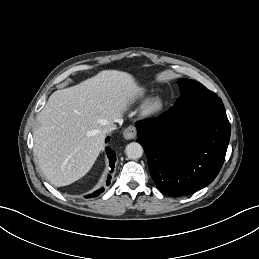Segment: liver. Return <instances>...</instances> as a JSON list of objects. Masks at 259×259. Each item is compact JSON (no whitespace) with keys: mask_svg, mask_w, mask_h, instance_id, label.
<instances>
[{"mask_svg":"<svg viewBox=\"0 0 259 259\" xmlns=\"http://www.w3.org/2000/svg\"><path fill=\"white\" fill-rule=\"evenodd\" d=\"M141 92L132 75L104 70L51 94L33 134L34 154L51 184L66 186L90 171L104 145L103 128L120 121Z\"/></svg>","mask_w":259,"mask_h":259,"instance_id":"liver-1","label":"liver"}]
</instances>
